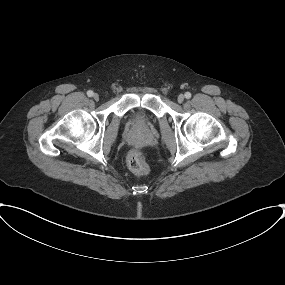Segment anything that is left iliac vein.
Here are the masks:
<instances>
[{
    "label": "left iliac vein",
    "mask_w": 285,
    "mask_h": 285,
    "mask_svg": "<svg viewBox=\"0 0 285 285\" xmlns=\"http://www.w3.org/2000/svg\"><path fill=\"white\" fill-rule=\"evenodd\" d=\"M177 101H178L179 103H182V102L184 101V95H183V94H180V95L178 96V98H177Z\"/></svg>",
    "instance_id": "left-iliac-vein-1"
}]
</instances>
